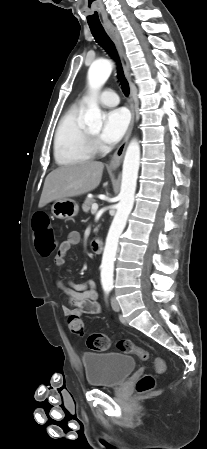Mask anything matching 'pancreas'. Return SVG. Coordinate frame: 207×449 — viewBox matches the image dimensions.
<instances>
[{
  "instance_id": "obj_1",
  "label": "pancreas",
  "mask_w": 207,
  "mask_h": 449,
  "mask_svg": "<svg viewBox=\"0 0 207 449\" xmlns=\"http://www.w3.org/2000/svg\"><path fill=\"white\" fill-rule=\"evenodd\" d=\"M95 203V199L93 198H86L83 205H82V209L85 213H88L92 204ZM97 231V229H95V232Z\"/></svg>"
}]
</instances>
